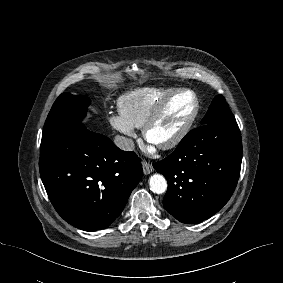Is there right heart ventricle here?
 Returning <instances> with one entry per match:
<instances>
[{
  "label": "right heart ventricle",
  "instance_id": "obj_1",
  "mask_svg": "<svg viewBox=\"0 0 283 283\" xmlns=\"http://www.w3.org/2000/svg\"><path fill=\"white\" fill-rule=\"evenodd\" d=\"M173 91L154 86L135 89L120 98L119 112L130 125L140 128L152 110Z\"/></svg>",
  "mask_w": 283,
  "mask_h": 283
}]
</instances>
